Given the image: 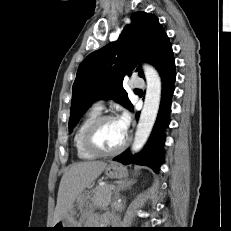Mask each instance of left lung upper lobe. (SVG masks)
Segmentation results:
<instances>
[{
	"mask_svg": "<svg viewBox=\"0 0 231 231\" xmlns=\"http://www.w3.org/2000/svg\"><path fill=\"white\" fill-rule=\"evenodd\" d=\"M116 42L89 54L80 64L72 89L68 127H74L88 107L98 99H114L130 111L133 105L122 83L126 75L142 69L141 61L152 63L163 42L168 38L155 15L132 14Z\"/></svg>",
	"mask_w": 231,
	"mask_h": 231,
	"instance_id": "left-lung-upper-lobe-1",
	"label": "left lung upper lobe"
}]
</instances>
